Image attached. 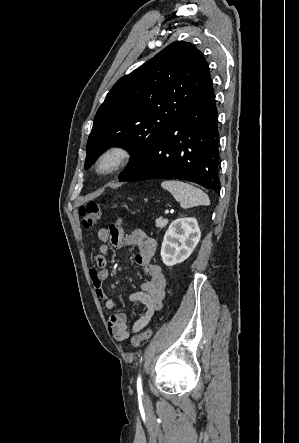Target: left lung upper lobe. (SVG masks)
<instances>
[{"label":"left lung upper lobe","instance_id":"5c2ea615","mask_svg":"<svg viewBox=\"0 0 299 443\" xmlns=\"http://www.w3.org/2000/svg\"><path fill=\"white\" fill-rule=\"evenodd\" d=\"M211 82L203 54L176 41L120 78L98 109L87 142L85 169L112 145L131 154V171Z\"/></svg>","mask_w":299,"mask_h":443}]
</instances>
